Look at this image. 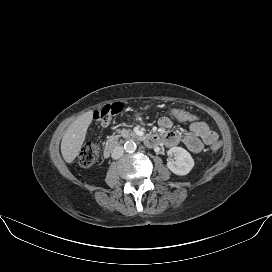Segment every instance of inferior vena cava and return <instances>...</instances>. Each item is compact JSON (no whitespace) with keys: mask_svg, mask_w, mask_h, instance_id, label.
Wrapping results in <instances>:
<instances>
[{"mask_svg":"<svg viewBox=\"0 0 272 272\" xmlns=\"http://www.w3.org/2000/svg\"><path fill=\"white\" fill-rule=\"evenodd\" d=\"M123 153H124L123 147L120 145H117L114 147L111 156L113 159H119L123 155Z\"/></svg>","mask_w":272,"mask_h":272,"instance_id":"inferior-vena-cava-1","label":"inferior vena cava"}]
</instances>
